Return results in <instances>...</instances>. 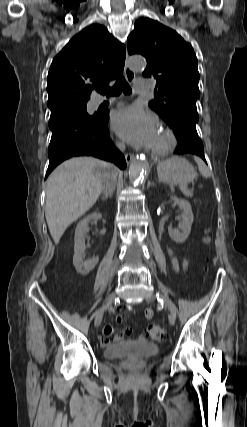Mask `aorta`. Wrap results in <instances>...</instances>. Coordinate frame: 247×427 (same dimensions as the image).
Masks as SVG:
<instances>
[{"instance_id": "aorta-1", "label": "aorta", "mask_w": 247, "mask_h": 427, "mask_svg": "<svg viewBox=\"0 0 247 427\" xmlns=\"http://www.w3.org/2000/svg\"><path fill=\"white\" fill-rule=\"evenodd\" d=\"M146 63L145 60L140 56H133L129 59V66L132 70L137 71L143 69ZM148 168V164L145 159L140 157L135 158L129 167V179L130 182L136 184L143 177L144 173Z\"/></svg>"}]
</instances>
